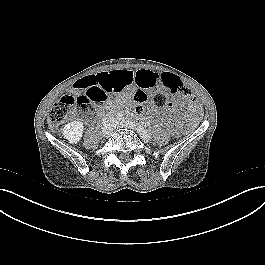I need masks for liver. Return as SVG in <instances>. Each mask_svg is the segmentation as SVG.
Returning <instances> with one entry per match:
<instances>
[{"label": "liver", "instance_id": "obj_1", "mask_svg": "<svg viewBox=\"0 0 265 265\" xmlns=\"http://www.w3.org/2000/svg\"><path fill=\"white\" fill-rule=\"evenodd\" d=\"M47 121H48V123L50 124V122H51L50 119H48ZM49 129H50L52 132H54L53 127H52L51 125H49Z\"/></svg>", "mask_w": 265, "mask_h": 265}]
</instances>
